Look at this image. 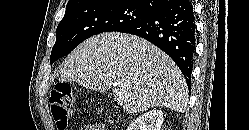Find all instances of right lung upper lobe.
<instances>
[{"label":"right lung upper lobe","instance_id":"right-lung-upper-lobe-1","mask_svg":"<svg viewBox=\"0 0 249 130\" xmlns=\"http://www.w3.org/2000/svg\"><path fill=\"white\" fill-rule=\"evenodd\" d=\"M98 1H106V0H69L67 3L66 11ZM130 1L139 6L151 9L153 11H157L171 0H130Z\"/></svg>","mask_w":249,"mask_h":130}]
</instances>
